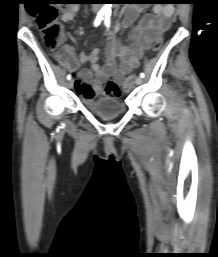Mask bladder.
<instances>
[{
	"label": "bladder",
	"mask_w": 218,
	"mask_h": 257,
	"mask_svg": "<svg viewBox=\"0 0 218 257\" xmlns=\"http://www.w3.org/2000/svg\"><path fill=\"white\" fill-rule=\"evenodd\" d=\"M83 103L91 112L104 118L118 116L126 111V106L123 101L109 95L84 99Z\"/></svg>",
	"instance_id": "31cf9c89"
}]
</instances>
